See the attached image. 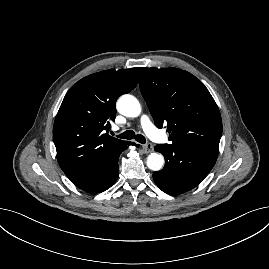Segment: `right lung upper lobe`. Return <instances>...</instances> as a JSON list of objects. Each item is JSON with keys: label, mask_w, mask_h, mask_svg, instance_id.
<instances>
[{"label": "right lung upper lobe", "mask_w": 269, "mask_h": 269, "mask_svg": "<svg viewBox=\"0 0 269 269\" xmlns=\"http://www.w3.org/2000/svg\"><path fill=\"white\" fill-rule=\"evenodd\" d=\"M141 68L111 69L89 75L65 95L53 126L58 163L73 182L129 142L111 137L117 98L134 89Z\"/></svg>", "instance_id": "1"}]
</instances>
